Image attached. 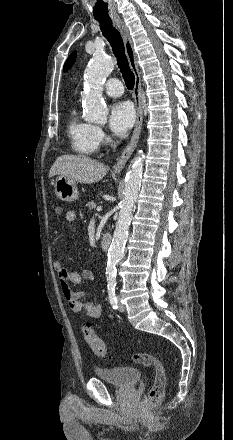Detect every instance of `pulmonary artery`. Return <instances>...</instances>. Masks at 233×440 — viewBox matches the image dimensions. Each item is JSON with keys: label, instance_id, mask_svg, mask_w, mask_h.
I'll use <instances>...</instances> for the list:
<instances>
[{"label": "pulmonary artery", "instance_id": "pulmonary-artery-1", "mask_svg": "<svg viewBox=\"0 0 233 440\" xmlns=\"http://www.w3.org/2000/svg\"><path fill=\"white\" fill-rule=\"evenodd\" d=\"M104 91L107 95L111 97H118L121 96L123 93V85L119 79L111 78L105 83Z\"/></svg>", "mask_w": 233, "mask_h": 440}]
</instances>
